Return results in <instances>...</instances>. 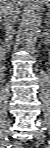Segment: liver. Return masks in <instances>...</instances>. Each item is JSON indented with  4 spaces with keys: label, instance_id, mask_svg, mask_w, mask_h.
<instances>
[{
    "label": "liver",
    "instance_id": "6515ba94",
    "mask_svg": "<svg viewBox=\"0 0 50 148\" xmlns=\"http://www.w3.org/2000/svg\"><path fill=\"white\" fill-rule=\"evenodd\" d=\"M0 2H1L0 10L2 12V8L10 1L9 0H1ZM25 2H27V0H18L19 5H23Z\"/></svg>",
    "mask_w": 50,
    "mask_h": 148
}]
</instances>
